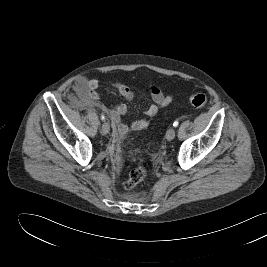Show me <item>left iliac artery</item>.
Masks as SVG:
<instances>
[{"instance_id": "left-iliac-artery-1", "label": "left iliac artery", "mask_w": 267, "mask_h": 267, "mask_svg": "<svg viewBox=\"0 0 267 267\" xmlns=\"http://www.w3.org/2000/svg\"><path fill=\"white\" fill-rule=\"evenodd\" d=\"M179 125V122L178 121H175L174 123H173V126L174 127H177Z\"/></svg>"}]
</instances>
